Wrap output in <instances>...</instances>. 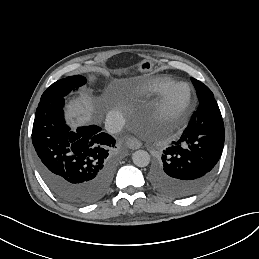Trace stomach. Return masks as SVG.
I'll list each match as a JSON object with an SVG mask.
<instances>
[{
	"mask_svg": "<svg viewBox=\"0 0 259 259\" xmlns=\"http://www.w3.org/2000/svg\"><path fill=\"white\" fill-rule=\"evenodd\" d=\"M154 67V62L152 60H143L139 63V70L141 72H150Z\"/></svg>",
	"mask_w": 259,
	"mask_h": 259,
	"instance_id": "1",
	"label": "stomach"
}]
</instances>
